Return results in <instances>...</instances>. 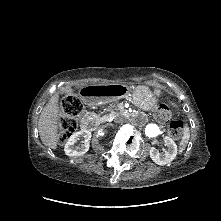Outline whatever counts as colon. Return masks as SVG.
Segmentation results:
<instances>
[{
	"instance_id": "5ec220e1",
	"label": "colon",
	"mask_w": 221,
	"mask_h": 221,
	"mask_svg": "<svg viewBox=\"0 0 221 221\" xmlns=\"http://www.w3.org/2000/svg\"><path fill=\"white\" fill-rule=\"evenodd\" d=\"M62 115L59 120L58 140L64 143L76 130V117L83 111L84 105L78 96H68L61 104ZM172 115V107L167 103L159 104L155 109V117L160 122H167ZM184 123L180 120L169 122V134L179 139L184 134Z\"/></svg>"
}]
</instances>
